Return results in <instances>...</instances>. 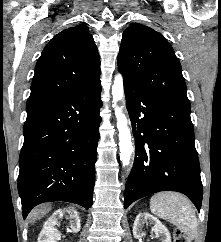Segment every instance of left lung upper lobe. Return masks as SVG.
I'll use <instances>...</instances> for the list:
<instances>
[{"label": "left lung upper lobe", "mask_w": 221, "mask_h": 242, "mask_svg": "<svg viewBox=\"0 0 221 242\" xmlns=\"http://www.w3.org/2000/svg\"><path fill=\"white\" fill-rule=\"evenodd\" d=\"M118 66L148 94L191 110L180 62L160 33L142 24L130 25L123 33Z\"/></svg>", "instance_id": "obj_1"}]
</instances>
